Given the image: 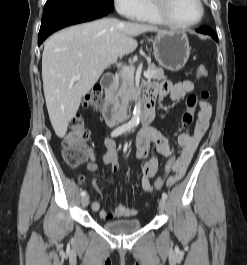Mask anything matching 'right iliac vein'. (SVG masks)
Listing matches in <instances>:
<instances>
[{"label":"right iliac vein","mask_w":247,"mask_h":265,"mask_svg":"<svg viewBox=\"0 0 247 265\" xmlns=\"http://www.w3.org/2000/svg\"><path fill=\"white\" fill-rule=\"evenodd\" d=\"M81 204L83 207H86L89 204V196L82 197Z\"/></svg>","instance_id":"1"}]
</instances>
